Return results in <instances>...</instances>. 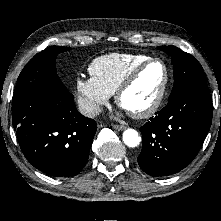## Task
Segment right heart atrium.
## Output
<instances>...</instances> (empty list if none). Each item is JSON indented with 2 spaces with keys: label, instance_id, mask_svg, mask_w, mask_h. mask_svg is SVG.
<instances>
[{
  "label": "right heart atrium",
  "instance_id": "right-heart-atrium-1",
  "mask_svg": "<svg viewBox=\"0 0 221 221\" xmlns=\"http://www.w3.org/2000/svg\"><path fill=\"white\" fill-rule=\"evenodd\" d=\"M82 113L93 117L108 102L110 95L101 89L92 78L78 77L75 83Z\"/></svg>",
  "mask_w": 221,
  "mask_h": 221
}]
</instances>
